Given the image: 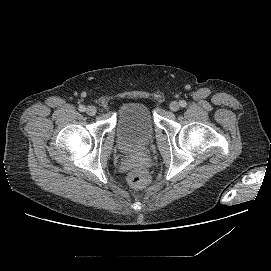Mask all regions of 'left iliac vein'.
<instances>
[{"label": "left iliac vein", "mask_w": 271, "mask_h": 271, "mask_svg": "<svg viewBox=\"0 0 271 271\" xmlns=\"http://www.w3.org/2000/svg\"><path fill=\"white\" fill-rule=\"evenodd\" d=\"M171 111H178L180 108V104L177 101H172L169 105Z\"/></svg>", "instance_id": "obj_1"}]
</instances>
